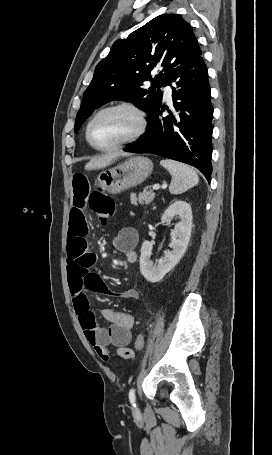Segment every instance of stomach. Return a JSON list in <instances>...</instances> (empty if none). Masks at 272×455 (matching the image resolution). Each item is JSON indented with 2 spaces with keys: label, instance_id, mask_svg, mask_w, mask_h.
<instances>
[{
  "label": "stomach",
  "instance_id": "1",
  "mask_svg": "<svg viewBox=\"0 0 272 455\" xmlns=\"http://www.w3.org/2000/svg\"><path fill=\"white\" fill-rule=\"evenodd\" d=\"M153 171V162L143 156H135L97 176V184L103 190L117 194L141 184Z\"/></svg>",
  "mask_w": 272,
  "mask_h": 455
}]
</instances>
